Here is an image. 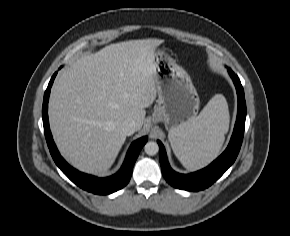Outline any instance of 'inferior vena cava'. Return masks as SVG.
Instances as JSON below:
<instances>
[{
	"mask_svg": "<svg viewBox=\"0 0 290 236\" xmlns=\"http://www.w3.org/2000/svg\"><path fill=\"white\" fill-rule=\"evenodd\" d=\"M121 129L126 136H130L136 131V124L134 120L128 119L122 123Z\"/></svg>",
	"mask_w": 290,
	"mask_h": 236,
	"instance_id": "602c4592",
	"label": "inferior vena cava"
}]
</instances>
